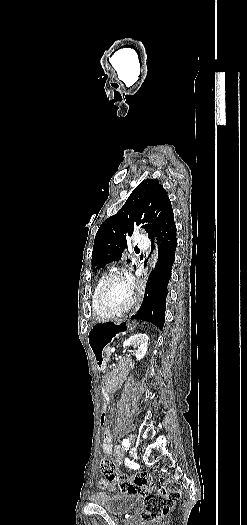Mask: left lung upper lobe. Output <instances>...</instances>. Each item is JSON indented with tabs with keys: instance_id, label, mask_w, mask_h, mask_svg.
<instances>
[{
	"instance_id": "obj_1",
	"label": "left lung upper lobe",
	"mask_w": 247,
	"mask_h": 525,
	"mask_svg": "<svg viewBox=\"0 0 247 525\" xmlns=\"http://www.w3.org/2000/svg\"><path fill=\"white\" fill-rule=\"evenodd\" d=\"M171 214V201L159 181L143 180L132 191L124 206L99 227L92 252L93 270L121 259L122 252L127 247L126 238L135 229H145L150 237Z\"/></svg>"
}]
</instances>
